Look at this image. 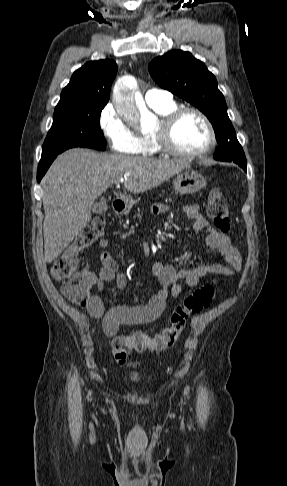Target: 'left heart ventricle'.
Segmentation results:
<instances>
[{
    "label": "left heart ventricle",
    "mask_w": 287,
    "mask_h": 486,
    "mask_svg": "<svg viewBox=\"0 0 287 486\" xmlns=\"http://www.w3.org/2000/svg\"><path fill=\"white\" fill-rule=\"evenodd\" d=\"M173 145L182 151H197L208 143V132L202 120L193 113L183 115L171 135Z\"/></svg>",
    "instance_id": "1"
}]
</instances>
